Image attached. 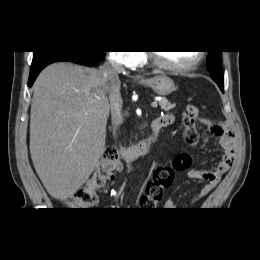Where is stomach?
<instances>
[{
  "label": "stomach",
  "instance_id": "obj_1",
  "mask_svg": "<svg viewBox=\"0 0 260 260\" xmlns=\"http://www.w3.org/2000/svg\"><path fill=\"white\" fill-rule=\"evenodd\" d=\"M141 83L150 87L160 96H168L176 90L174 81L166 75H158L147 80H142Z\"/></svg>",
  "mask_w": 260,
  "mask_h": 260
}]
</instances>
